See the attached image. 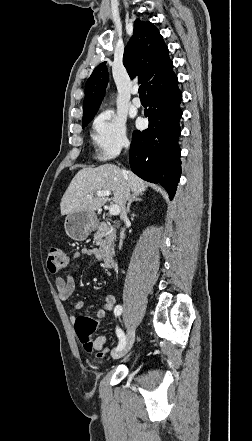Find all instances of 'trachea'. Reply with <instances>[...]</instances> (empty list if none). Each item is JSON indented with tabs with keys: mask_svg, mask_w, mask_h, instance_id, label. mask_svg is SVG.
Here are the masks:
<instances>
[{
	"mask_svg": "<svg viewBox=\"0 0 252 441\" xmlns=\"http://www.w3.org/2000/svg\"><path fill=\"white\" fill-rule=\"evenodd\" d=\"M138 92H139V95H140V96H146V93H145V86H144L143 84L140 85Z\"/></svg>",
	"mask_w": 252,
	"mask_h": 441,
	"instance_id": "obj_1",
	"label": "trachea"
}]
</instances>
